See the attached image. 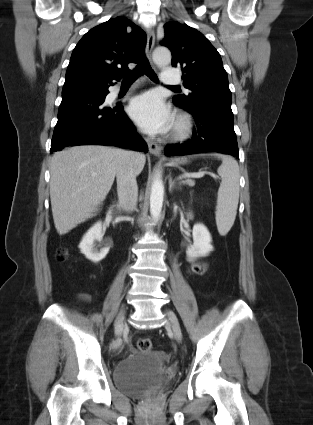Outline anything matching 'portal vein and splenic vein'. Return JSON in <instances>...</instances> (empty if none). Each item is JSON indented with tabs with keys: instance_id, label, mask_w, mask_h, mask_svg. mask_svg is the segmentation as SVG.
<instances>
[{
	"instance_id": "portal-vein-and-splenic-vein-1",
	"label": "portal vein and splenic vein",
	"mask_w": 313,
	"mask_h": 425,
	"mask_svg": "<svg viewBox=\"0 0 313 425\" xmlns=\"http://www.w3.org/2000/svg\"><path fill=\"white\" fill-rule=\"evenodd\" d=\"M205 174H207V172L200 171V172H197V173L184 174V175L180 176L179 178L180 179H186V178H202V177H204ZM211 176L213 178H215V179L217 178V176H215L213 174H211Z\"/></svg>"
}]
</instances>
